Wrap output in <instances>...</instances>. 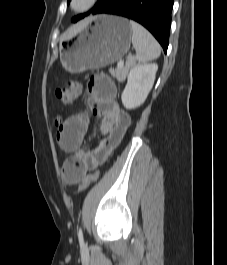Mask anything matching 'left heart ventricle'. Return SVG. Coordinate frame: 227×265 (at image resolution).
<instances>
[{"instance_id":"obj_1","label":"left heart ventricle","mask_w":227,"mask_h":265,"mask_svg":"<svg viewBox=\"0 0 227 265\" xmlns=\"http://www.w3.org/2000/svg\"><path fill=\"white\" fill-rule=\"evenodd\" d=\"M85 3H86V0H77V2H76V6H77V7H81V6H83Z\"/></svg>"}]
</instances>
